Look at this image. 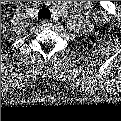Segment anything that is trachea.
Segmentation results:
<instances>
[{
    "instance_id": "3493384b",
    "label": "trachea",
    "mask_w": 121,
    "mask_h": 121,
    "mask_svg": "<svg viewBox=\"0 0 121 121\" xmlns=\"http://www.w3.org/2000/svg\"><path fill=\"white\" fill-rule=\"evenodd\" d=\"M51 13L50 10L46 7L42 8L38 12V19H50Z\"/></svg>"
}]
</instances>
